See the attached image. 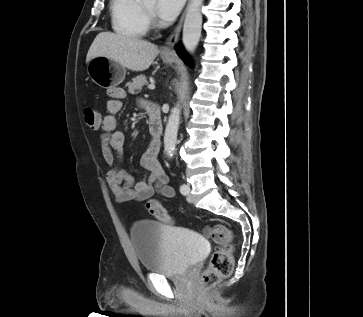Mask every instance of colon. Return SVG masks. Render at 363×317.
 Instances as JSON below:
<instances>
[{"instance_id": "colon-1", "label": "colon", "mask_w": 363, "mask_h": 317, "mask_svg": "<svg viewBox=\"0 0 363 317\" xmlns=\"http://www.w3.org/2000/svg\"><path fill=\"white\" fill-rule=\"evenodd\" d=\"M86 125L93 131L101 128L102 119L100 113L90 107L83 112ZM147 210L163 223H171L172 218L166 209L157 201L150 200L147 203ZM209 237L218 245L211 255L209 266L200 276V290L207 291L220 280L230 276L233 270L234 258L232 254L233 235L229 228L223 225H216L207 229Z\"/></svg>"}]
</instances>
